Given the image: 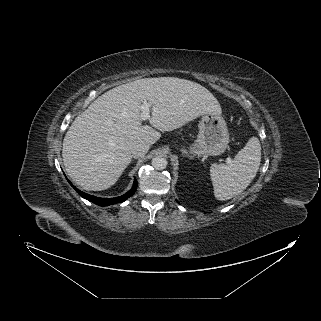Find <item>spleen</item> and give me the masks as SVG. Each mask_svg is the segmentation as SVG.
<instances>
[{"label":"spleen","instance_id":"obj_1","mask_svg":"<svg viewBox=\"0 0 321 321\" xmlns=\"http://www.w3.org/2000/svg\"><path fill=\"white\" fill-rule=\"evenodd\" d=\"M260 162L261 145L257 137H252L231 164H212L210 176L216 199L229 200L245 190L255 178Z\"/></svg>","mask_w":321,"mask_h":321}]
</instances>
